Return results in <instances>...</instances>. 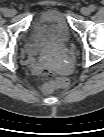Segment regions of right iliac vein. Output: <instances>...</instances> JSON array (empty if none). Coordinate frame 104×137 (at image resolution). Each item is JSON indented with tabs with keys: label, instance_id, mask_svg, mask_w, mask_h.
<instances>
[{
	"label": "right iliac vein",
	"instance_id": "obj_1",
	"mask_svg": "<svg viewBox=\"0 0 104 137\" xmlns=\"http://www.w3.org/2000/svg\"><path fill=\"white\" fill-rule=\"evenodd\" d=\"M15 14H16V11L14 9L8 10V13H7L8 16H14Z\"/></svg>",
	"mask_w": 104,
	"mask_h": 137
}]
</instances>
